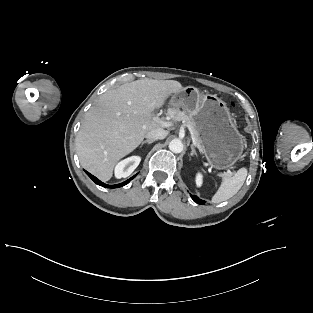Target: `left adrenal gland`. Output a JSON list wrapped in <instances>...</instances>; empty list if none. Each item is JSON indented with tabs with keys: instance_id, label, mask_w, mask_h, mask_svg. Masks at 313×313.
Wrapping results in <instances>:
<instances>
[{
	"instance_id": "a2214340",
	"label": "left adrenal gland",
	"mask_w": 313,
	"mask_h": 313,
	"mask_svg": "<svg viewBox=\"0 0 313 313\" xmlns=\"http://www.w3.org/2000/svg\"><path fill=\"white\" fill-rule=\"evenodd\" d=\"M191 153H190V156H193V155H195V156H197V153H196V151H195V148H194V146L191 144Z\"/></svg>"
}]
</instances>
